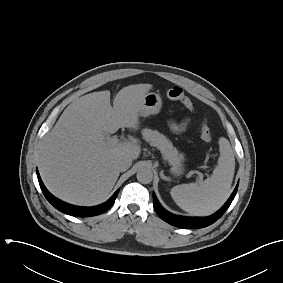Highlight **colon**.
<instances>
[{
  "label": "colon",
  "instance_id": "obj_1",
  "mask_svg": "<svg viewBox=\"0 0 283 283\" xmlns=\"http://www.w3.org/2000/svg\"><path fill=\"white\" fill-rule=\"evenodd\" d=\"M166 95L171 100H176L181 102L188 110L193 111L194 105L190 98L184 93L183 89L180 87H172L167 90ZM201 138L205 141H211L212 133L210 128L205 122L202 123L200 128Z\"/></svg>",
  "mask_w": 283,
  "mask_h": 283
}]
</instances>
